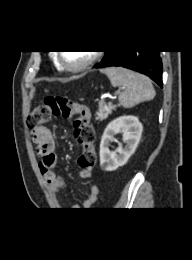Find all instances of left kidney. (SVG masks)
<instances>
[{
	"mask_svg": "<svg viewBox=\"0 0 192 260\" xmlns=\"http://www.w3.org/2000/svg\"><path fill=\"white\" fill-rule=\"evenodd\" d=\"M143 126L135 116H122L111 121L101 138L100 143V165L105 171H114L125 165L131 155L135 152L142 134ZM123 134L126 143L123 148L119 143L117 152H111L109 145L115 140L114 136Z\"/></svg>",
	"mask_w": 192,
	"mask_h": 260,
	"instance_id": "left-kidney-1",
	"label": "left kidney"
}]
</instances>
